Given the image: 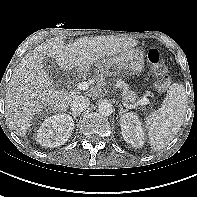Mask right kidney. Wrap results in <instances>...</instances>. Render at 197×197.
Here are the masks:
<instances>
[{
  "instance_id": "1",
  "label": "right kidney",
  "mask_w": 197,
  "mask_h": 197,
  "mask_svg": "<svg viewBox=\"0 0 197 197\" xmlns=\"http://www.w3.org/2000/svg\"><path fill=\"white\" fill-rule=\"evenodd\" d=\"M74 129V121L67 114L47 117L37 133V142L44 147H58L68 141Z\"/></svg>"
}]
</instances>
